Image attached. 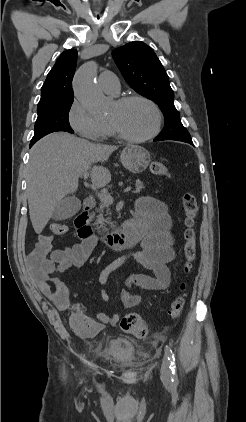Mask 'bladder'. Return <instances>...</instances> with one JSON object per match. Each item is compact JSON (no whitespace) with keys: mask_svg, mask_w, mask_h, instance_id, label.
I'll use <instances>...</instances> for the list:
<instances>
[{"mask_svg":"<svg viewBox=\"0 0 246 422\" xmlns=\"http://www.w3.org/2000/svg\"><path fill=\"white\" fill-rule=\"evenodd\" d=\"M104 356L111 360H116L127 366H136V348L129 341L122 338H112L105 346Z\"/></svg>","mask_w":246,"mask_h":422,"instance_id":"31cf9c89","label":"bladder"}]
</instances>
